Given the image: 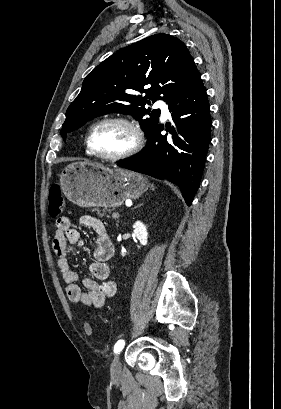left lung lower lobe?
Wrapping results in <instances>:
<instances>
[{"label":"left lung lower lobe","mask_w":281,"mask_h":409,"mask_svg":"<svg viewBox=\"0 0 281 409\" xmlns=\"http://www.w3.org/2000/svg\"><path fill=\"white\" fill-rule=\"evenodd\" d=\"M169 111L175 128L167 125L166 130L172 137L161 135L163 125L158 124L148 136L147 146L117 165L177 184L190 206L200 184L211 136L209 102L198 70L169 103Z\"/></svg>","instance_id":"obj_1"}]
</instances>
